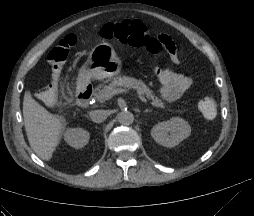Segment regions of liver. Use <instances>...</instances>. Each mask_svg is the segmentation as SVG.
I'll return each instance as SVG.
<instances>
[{"mask_svg": "<svg viewBox=\"0 0 254 216\" xmlns=\"http://www.w3.org/2000/svg\"><path fill=\"white\" fill-rule=\"evenodd\" d=\"M23 117L31 148L39 158L49 161L61 140L65 118L47 111L29 93L24 95Z\"/></svg>", "mask_w": 254, "mask_h": 216, "instance_id": "6515ba94", "label": "liver"}]
</instances>
